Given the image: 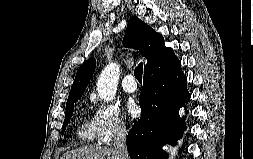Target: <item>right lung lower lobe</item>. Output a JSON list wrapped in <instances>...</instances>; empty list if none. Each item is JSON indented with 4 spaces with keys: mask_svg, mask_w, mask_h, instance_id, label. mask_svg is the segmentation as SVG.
<instances>
[{
    "mask_svg": "<svg viewBox=\"0 0 253 159\" xmlns=\"http://www.w3.org/2000/svg\"><path fill=\"white\" fill-rule=\"evenodd\" d=\"M181 63L169 71L147 74L139 96L141 118L127 136L131 159H167L165 144H176L183 135L184 120L179 109L190 100Z\"/></svg>",
    "mask_w": 253,
    "mask_h": 159,
    "instance_id": "right-lung-lower-lobe-1",
    "label": "right lung lower lobe"
}]
</instances>
